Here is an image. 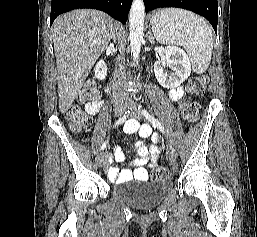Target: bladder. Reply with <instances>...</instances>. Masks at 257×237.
Listing matches in <instances>:
<instances>
[{
    "mask_svg": "<svg viewBox=\"0 0 257 237\" xmlns=\"http://www.w3.org/2000/svg\"><path fill=\"white\" fill-rule=\"evenodd\" d=\"M130 183H138L141 187L129 188L118 194L127 205L136 210H148L158 206L172 188L170 180H141L130 181Z\"/></svg>",
    "mask_w": 257,
    "mask_h": 237,
    "instance_id": "31cf9c89",
    "label": "bladder"
}]
</instances>
